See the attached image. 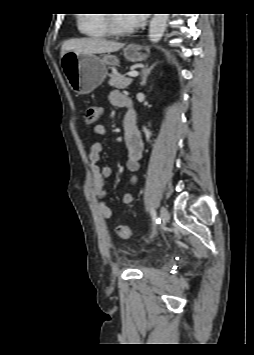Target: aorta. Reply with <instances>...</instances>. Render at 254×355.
Segmentation results:
<instances>
[{
	"label": "aorta",
	"instance_id": "1",
	"mask_svg": "<svg viewBox=\"0 0 254 355\" xmlns=\"http://www.w3.org/2000/svg\"><path fill=\"white\" fill-rule=\"evenodd\" d=\"M168 21V14H154L149 27V39L158 42L162 38Z\"/></svg>",
	"mask_w": 254,
	"mask_h": 355
}]
</instances>
